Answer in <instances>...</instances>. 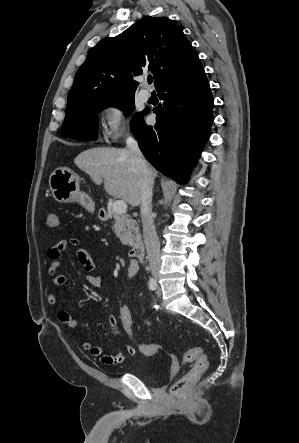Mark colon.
<instances>
[{
	"label": "colon",
	"mask_w": 299,
	"mask_h": 443,
	"mask_svg": "<svg viewBox=\"0 0 299 443\" xmlns=\"http://www.w3.org/2000/svg\"><path fill=\"white\" fill-rule=\"evenodd\" d=\"M45 225L47 228H57L60 225V219L57 212L49 210L45 214ZM118 318L124 331L133 341L137 349L145 356L152 357L163 352L161 346L154 343H147L140 340L136 334V322L132 311L123 306L118 312ZM172 372L179 370V362L175 356H169ZM183 362L193 363L191 369L181 378L172 384L170 392L173 395L181 394L187 387L194 383L207 369L208 362L203 351L199 347L187 350L183 355Z\"/></svg>",
	"instance_id": "1"
}]
</instances>
